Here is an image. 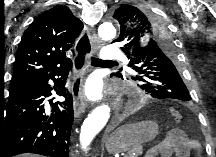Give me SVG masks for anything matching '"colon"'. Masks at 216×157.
Returning <instances> with one entry per match:
<instances>
[{
    "instance_id": "5ec220e1",
    "label": "colon",
    "mask_w": 216,
    "mask_h": 157,
    "mask_svg": "<svg viewBox=\"0 0 216 157\" xmlns=\"http://www.w3.org/2000/svg\"><path fill=\"white\" fill-rule=\"evenodd\" d=\"M171 116L176 123H180L182 121V114L177 109L171 110Z\"/></svg>"
}]
</instances>
